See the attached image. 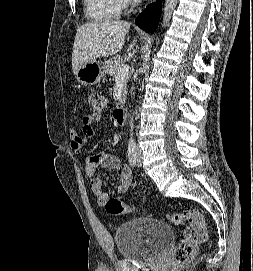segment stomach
<instances>
[{
	"label": "stomach",
	"mask_w": 253,
	"mask_h": 271,
	"mask_svg": "<svg viewBox=\"0 0 253 271\" xmlns=\"http://www.w3.org/2000/svg\"><path fill=\"white\" fill-rule=\"evenodd\" d=\"M75 75L82 85H95L104 77V67L99 61L88 62L82 65Z\"/></svg>",
	"instance_id": "1"
}]
</instances>
